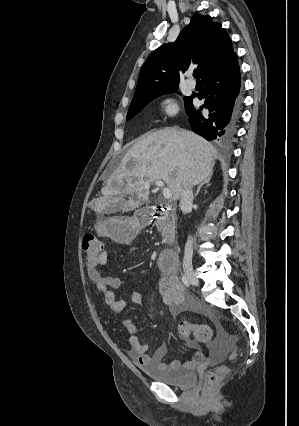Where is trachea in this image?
<instances>
[{
  "label": "trachea",
  "instance_id": "1",
  "mask_svg": "<svg viewBox=\"0 0 299 426\" xmlns=\"http://www.w3.org/2000/svg\"><path fill=\"white\" fill-rule=\"evenodd\" d=\"M193 76L196 78V79H198L199 78V70H194V72H193Z\"/></svg>",
  "mask_w": 299,
  "mask_h": 426
}]
</instances>
